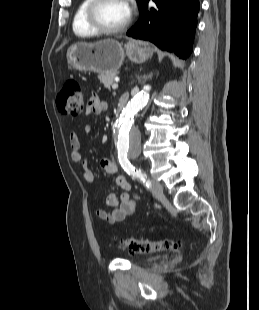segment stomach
<instances>
[{
  "label": "stomach",
  "instance_id": "0dacf381",
  "mask_svg": "<svg viewBox=\"0 0 259 310\" xmlns=\"http://www.w3.org/2000/svg\"><path fill=\"white\" fill-rule=\"evenodd\" d=\"M153 54V50L136 42L126 45L113 39H105L96 43L78 42L67 50V62L79 71L96 73H117L125 56L134 63H143Z\"/></svg>",
  "mask_w": 259,
  "mask_h": 310
}]
</instances>
